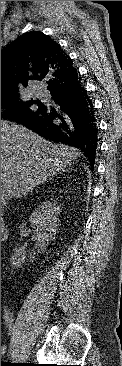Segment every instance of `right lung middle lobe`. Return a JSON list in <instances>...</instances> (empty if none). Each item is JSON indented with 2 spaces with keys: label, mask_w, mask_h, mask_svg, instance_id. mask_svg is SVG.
Returning a JSON list of instances; mask_svg holds the SVG:
<instances>
[{
  "label": "right lung middle lobe",
  "mask_w": 122,
  "mask_h": 366,
  "mask_svg": "<svg viewBox=\"0 0 122 366\" xmlns=\"http://www.w3.org/2000/svg\"><path fill=\"white\" fill-rule=\"evenodd\" d=\"M15 99V94L13 92L10 91H4L1 94V101H7V100H14ZM40 101H30L28 102L29 106L31 104H39ZM34 112L30 111L29 109H19V114L21 117H28L30 115H32Z\"/></svg>",
  "instance_id": "right-lung-middle-lobe-1"
}]
</instances>
